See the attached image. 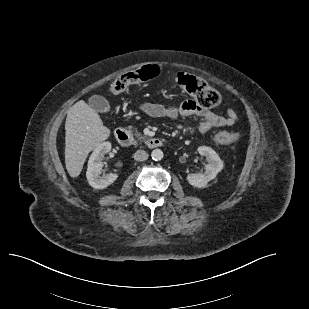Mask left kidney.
<instances>
[{"label":"left kidney","mask_w":309,"mask_h":309,"mask_svg":"<svg viewBox=\"0 0 309 309\" xmlns=\"http://www.w3.org/2000/svg\"><path fill=\"white\" fill-rule=\"evenodd\" d=\"M197 150L201 156L206 157L208 164L205 166L204 173L188 174L187 181L194 187L204 188L223 169V162L211 147L200 146Z\"/></svg>","instance_id":"left-kidney-1"}]
</instances>
